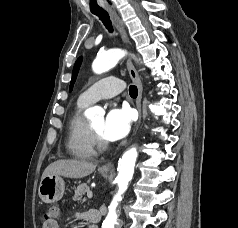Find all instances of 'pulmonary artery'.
<instances>
[{
    "mask_svg": "<svg viewBox=\"0 0 238 228\" xmlns=\"http://www.w3.org/2000/svg\"><path fill=\"white\" fill-rule=\"evenodd\" d=\"M122 81L114 76L103 78L88 87L79 97L85 104H92L100 99L112 98L122 92Z\"/></svg>",
    "mask_w": 238,
    "mask_h": 228,
    "instance_id": "obj_1",
    "label": "pulmonary artery"
}]
</instances>
